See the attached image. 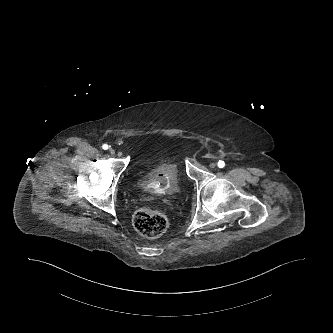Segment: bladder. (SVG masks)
Segmentation results:
<instances>
[{
  "label": "bladder",
  "mask_w": 333,
  "mask_h": 333,
  "mask_svg": "<svg viewBox=\"0 0 333 333\" xmlns=\"http://www.w3.org/2000/svg\"><path fill=\"white\" fill-rule=\"evenodd\" d=\"M143 191L168 196L180 189L178 170L173 162H160L150 166L136 181Z\"/></svg>",
  "instance_id": "bladder-1"
}]
</instances>
